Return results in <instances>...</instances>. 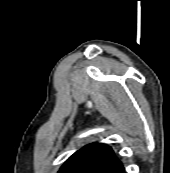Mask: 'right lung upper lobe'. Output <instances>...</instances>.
Instances as JSON below:
<instances>
[{"mask_svg": "<svg viewBox=\"0 0 170 173\" xmlns=\"http://www.w3.org/2000/svg\"><path fill=\"white\" fill-rule=\"evenodd\" d=\"M121 164L111 147L92 143L70 156L58 173H106Z\"/></svg>", "mask_w": 170, "mask_h": 173, "instance_id": "cb5924a9", "label": "right lung upper lobe"}]
</instances>
